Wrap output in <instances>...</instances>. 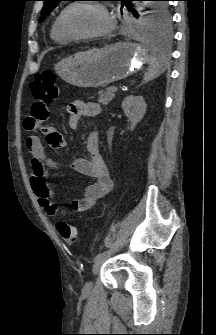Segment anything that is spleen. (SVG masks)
Returning a JSON list of instances; mask_svg holds the SVG:
<instances>
[{
	"label": "spleen",
	"mask_w": 216,
	"mask_h": 335,
	"mask_svg": "<svg viewBox=\"0 0 216 335\" xmlns=\"http://www.w3.org/2000/svg\"><path fill=\"white\" fill-rule=\"evenodd\" d=\"M166 68L163 56L156 48H152L148 71L144 74V81H150L158 77Z\"/></svg>",
	"instance_id": "3e777b00"
}]
</instances>
